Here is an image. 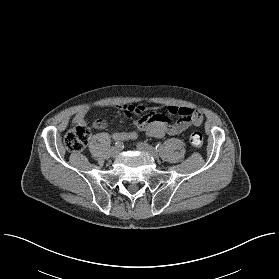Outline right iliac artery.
I'll use <instances>...</instances> for the list:
<instances>
[{"mask_svg": "<svg viewBox=\"0 0 279 279\" xmlns=\"http://www.w3.org/2000/svg\"><path fill=\"white\" fill-rule=\"evenodd\" d=\"M115 145L118 147V148H121L122 147V143L120 141H116L115 140Z\"/></svg>", "mask_w": 279, "mask_h": 279, "instance_id": "1", "label": "right iliac artery"}]
</instances>
